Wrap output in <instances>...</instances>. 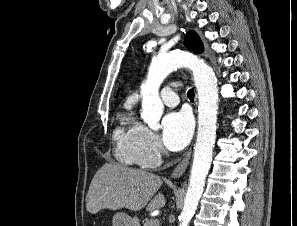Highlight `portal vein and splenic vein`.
Listing matches in <instances>:
<instances>
[{"mask_svg": "<svg viewBox=\"0 0 297 226\" xmlns=\"http://www.w3.org/2000/svg\"><path fill=\"white\" fill-rule=\"evenodd\" d=\"M153 222H154V223H157V222H158V220H157V219H153Z\"/></svg>", "mask_w": 297, "mask_h": 226, "instance_id": "obj_1", "label": "portal vein and splenic vein"}]
</instances>
